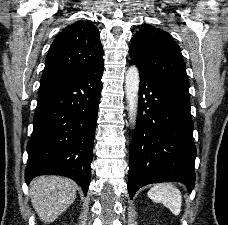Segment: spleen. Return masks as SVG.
Here are the masks:
<instances>
[{
  "label": "spleen",
  "mask_w": 228,
  "mask_h": 225,
  "mask_svg": "<svg viewBox=\"0 0 228 225\" xmlns=\"http://www.w3.org/2000/svg\"><path fill=\"white\" fill-rule=\"evenodd\" d=\"M147 195L154 203H162L173 215H180L182 195L179 189H176L171 183L154 185Z\"/></svg>",
  "instance_id": "spleen-1"
}]
</instances>
